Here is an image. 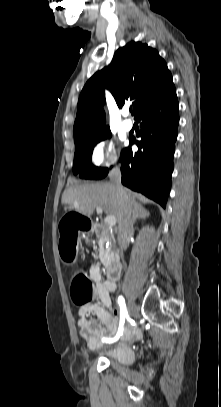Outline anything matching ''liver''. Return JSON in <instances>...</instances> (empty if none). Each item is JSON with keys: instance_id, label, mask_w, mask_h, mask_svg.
Returning <instances> with one entry per match:
<instances>
[{"instance_id": "6515ba94", "label": "liver", "mask_w": 221, "mask_h": 407, "mask_svg": "<svg viewBox=\"0 0 221 407\" xmlns=\"http://www.w3.org/2000/svg\"><path fill=\"white\" fill-rule=\"evenodd\" d=\"M128 204L132 210L140 205L135 194L125 189ZM62 204H68L77 212L91 216L97 207H101L107 215L114 216L119 222L121 205L116 188L111 182L82 184L69 187L62 194Z\"/></svg>"}]
</instances>
